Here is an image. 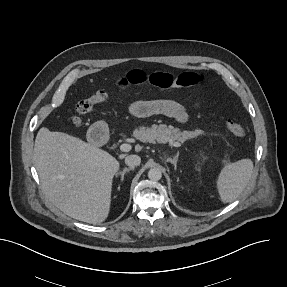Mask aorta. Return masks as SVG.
<instances>
[{
  "mask_svg": "<svg viewBox=\"0 0 287 287\" xmlns=\"http://www.w3.org/2000/svg\"><path fill=\"white\" fill-rule=\"evenodd\" d=\"M161 177H162V172L158 168H151L148 171V178L152 181H158L161 179Z\"/></svg>",
  "mask_w": 287,
  "mask_h": 287,
  "instance_id": "1",
  "label": "aorta"
}]
</instances>
